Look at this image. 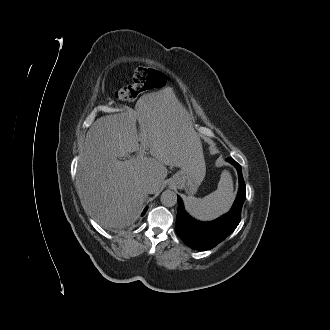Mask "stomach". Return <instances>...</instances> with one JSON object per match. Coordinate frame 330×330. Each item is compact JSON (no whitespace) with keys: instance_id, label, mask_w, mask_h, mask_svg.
<instances>
[{"instance_id":"0dacf381","label":"stomach","mask_w":330,"mask_h":330,"mask_svg":"<svg viewBox=\"0 0 330 330\" xmlns=\"http://www.w3.org/2000/svg\"><path fill=\"white\" fill-rule=\"evenodd\" d=\"M206 173L203 152L190 156L186 164L173 176L171 182L179 189H184L189 195L197 192Z\"/></svg>"}]
</instances>
